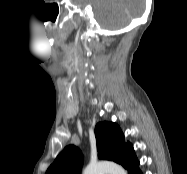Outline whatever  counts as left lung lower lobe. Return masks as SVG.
Listing matches in <instances>:
<instances>
[{
	"label": "left lung lower lobe",
	"instance_id": "obj_1",
	"mask_svg": "<svg viewBox=\"0 0 187 174\" xmlns=\"http://www.w3.org/2000/svg\"><path fill=\"white\" fill-rule=\"evenodd\" d=\"M138 165L139 164H137L129 174H142L140 169L137 167Z\"/></svg>",
	"mask_w": 187,
	"mask_h": 174
}]
</instances>
